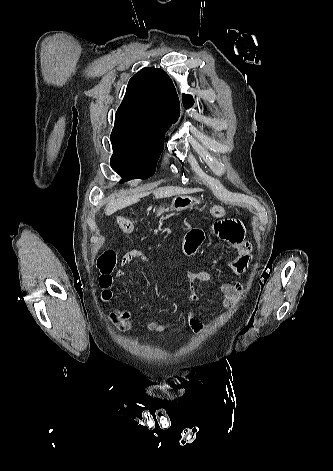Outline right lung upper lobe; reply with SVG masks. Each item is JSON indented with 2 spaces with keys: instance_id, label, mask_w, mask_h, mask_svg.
I'll return each mask as SVG.
<instances>
[{
  "instance_id": "1",
  "label": "right lung upper lobe",
  "mask_w": 333,
  "mask_h": 471,
  "mask_svg": "<svg viewBox=\"0 0 333 471\" xmlns=\"http://www.w3.org/2000/svg\"><path fill=\"white\" fill-rule=\"evenodd\" d=\"M179 114V99L168 74L145 67L129 80L115 124L167 131Z\"/></svg>"
}]
</instances>
